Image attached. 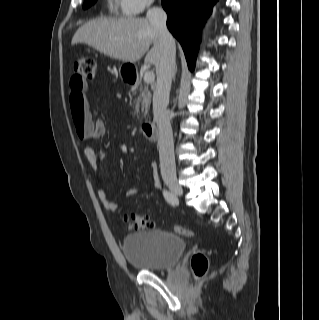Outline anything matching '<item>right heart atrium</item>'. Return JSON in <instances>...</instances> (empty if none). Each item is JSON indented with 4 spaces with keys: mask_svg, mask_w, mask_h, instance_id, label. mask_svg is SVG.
Masks as SVG:
<instances>
[{
    "mask_svg": "<svg viewBox=\"0 0 319 320\" xmlns=\"http://www.w3.org/2000/svg\"><path fill=\"white\" fill-rule=\"evenodd\" d=\"M153 0H112L114 6L124 15L135 16L148 8Z\"/></svg>",
    "mask_w": 319,
    "mask_h": 320,
    "instance_id": "right-heart-atrium-1",
    "label": "right heart atrium"
}]
</instances>
